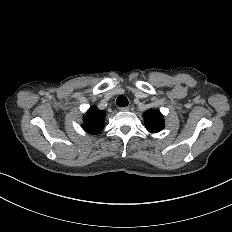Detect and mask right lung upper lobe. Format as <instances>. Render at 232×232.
<instances>
[{"label": "right lung upper lobe", "instance_id": "obj_1", "mask_svg": "<svg viewBox=\"0 0 232 232\" xmlns=\"http://www.w3.org/2000/svg\"><path fill=\"white\" fill-rule=\"evenodd\" d=\"M105 112L99 110L96 106L91 107L83 120V129L90 134H98L104 128Z\"/></svg>", "mask_w": 232, "mask_h": 232}]
</instances>
